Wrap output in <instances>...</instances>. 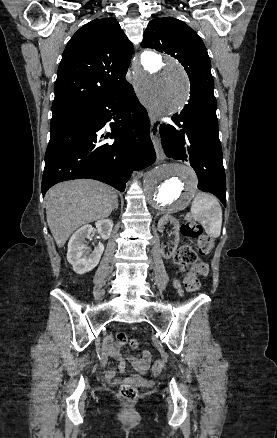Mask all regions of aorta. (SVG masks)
Here are the masks:
<instances>
[{
    "label": "aorta",
    "mask_w": 277,
    "mask_h": 438,
    "mask_svg": "<svg viewBox=\"0 0 277 438\" xmlns=\"http://www.w3.org/2000/svg\"><path fill=\"white\" fill-rule=\"evenodd\" d=\"M136 92L155 115L179 112L188 99V79L183 67L169 56L146 51L134 69ZM197 189V178L187 165L162 164L144 177L146 201L152 211L171 214L183 210Z\"/></svg>",
    "instance_id": "obj_1"
}]
</instances>
